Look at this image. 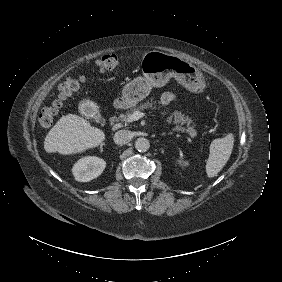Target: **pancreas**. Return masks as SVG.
<instances>
[{
	"instance_id": "pancreas-1",
	"label": "pancreas",
	"mask_w": 282,
	"mask_h": 282,
	"mask_svg": "<svg viewBox=\"0 0 282 282\" xmlns=\"http://www.w3.org/2000/svg\"><path fill=\"white\" fill-rule=\"evenodd\" d=\"M151 107V100L147 101L146 103H141L140 105L131 108V110H128L126 113L124 114H120L119 116V120L123 121L125 123L127 122H133L134 119L131 117V115L138 110H143L146 108H150ZM173 118H169L168 122L173 123V125H178L176 126L174 129L177 131H181V132H187L189 134L190 137H194L196 136V131L193 127H191L190 125L193 123L191 119H189L188 117L184 116L181 112L175 111L172 114ZM186 125L187 128L183 129V126Z\"/></svg>"
}]
</instances>
